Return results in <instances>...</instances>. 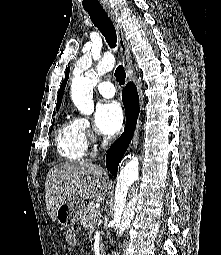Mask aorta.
I'll use <instances>...</instances> for the list:
<instances>
[{
    "mask_svg": "<svg viewBox=\"0 0 221 255\" xmlns=\"http://www.w3.org/2000/svg\"><path fill=\"white\" fill-rule=\"evenodd\" d=\"M99 71L100 68L96 64L72 80L71 99L82 114L89 115L94 110L92 91L99 80ZM138 183L139 163L138 159L134 157L123 167L117 178L113 221L119 228L120 236L134 218Z\"/></svg>",
    "mask_w": 221,
    "mask_h": 255,
    "instance_id": "762f6f07",
    "label": "aorta"
}]
</instances>
